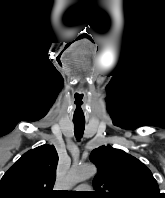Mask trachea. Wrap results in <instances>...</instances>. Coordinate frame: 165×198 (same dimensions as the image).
Segmentation results:
<instances>
[{
  "label": "trachea",
  "instance_id": "obj_1",
  "mask_svg": "<svg viewBox=\"0 0 165 198\" xmlns=\"http://www.w3.org/2000/svg\"><path fill=\"white\" fill-rule=\"evenodd\" d=\"M73 122H74L75 136L78 139H80L83 135V132H84L85 122L84 121H73Z\"/></svg>",
  "mask_w": 165,
  "mask_h": 198
}]
</instances>
